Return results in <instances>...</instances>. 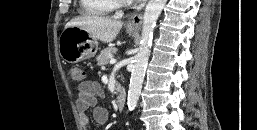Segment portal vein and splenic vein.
<instances>
[{
  "label": "portal vein and splenic vein",
  "instance_id": "obj_1",
  "mask_svg": "<svg viewBox=\"0 0 257 130\" xmlns=\"http://www.w3.org/2000/svg\"><path fill=\"white\" fill-rule=\"evenodd\" d=\"M115 63H116V59L111 58V59H110V64H115Z\"/></svg>",
  "mask_w": 257,
  "mask_h": 130
}]
</instances>
